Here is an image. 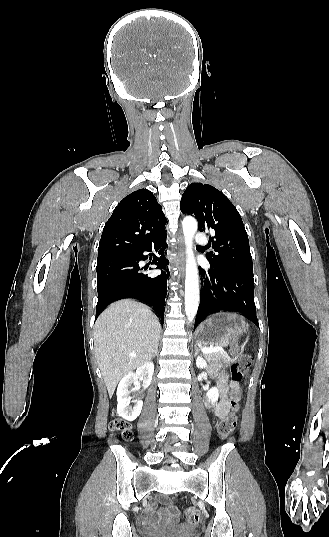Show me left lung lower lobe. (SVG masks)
<instances>
[{"instance_id":"left-lung-lower-lobe-1","label":"left lung lower lobe","mask_w":329,"mask_h":537,"mask_svg":"<svg viewBox=\"0 0 329 537\" xmlns=\"http://www.w3.org/2000/svg\"><path fill=\"white\" fill-rule=\"evenodd\" d=\"M202 289L194 328L217 311L238 312L259 326L254 302L253 275L223 267L200 270Z\"/></svg>"}]
</instances>
